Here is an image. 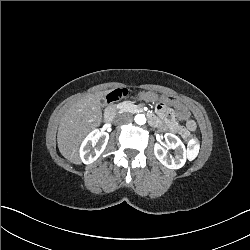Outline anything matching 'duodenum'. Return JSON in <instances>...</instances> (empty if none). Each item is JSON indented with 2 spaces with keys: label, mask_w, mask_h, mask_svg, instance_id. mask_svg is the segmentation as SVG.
<instances>
[{
  "label": "duodenum",
  "mask_w": 250,
  "mask_h": 250,
  "mask_svg": "<svg viewBox=\"0 0 250 250\" xmlns=\"http://www.w3.org/2000/svg\"><path fill=\"white\" fill-rule=\"evenodd\" d=\"M104 122H106V123L112 122V117L110 115V112H108V113L105 114V116H104Z\"/></svg>",
  "instance_id": "obj_1"
}]
</instances>
